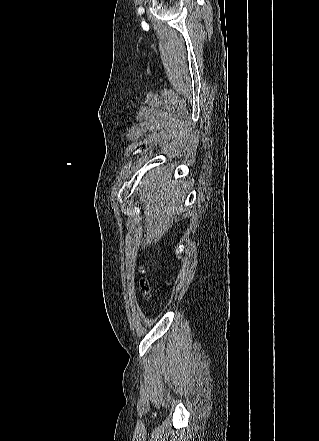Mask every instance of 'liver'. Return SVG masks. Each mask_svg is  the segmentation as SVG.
<instances>
[{
  "label": "liver",
  "mask_w": 319,
  "mask_h": 441,
  "mask_svg": "<svg viewBox=\"0 0 319 441\" xmlns=\"http://www.w3.org/2000/svg\"><path fill=\"white\" fill-rule=\"evenodd\" d=\"M137 195L144 207V229H135L134 237L136 246L145 248L158 243L176 222V211L185 198L184 184L172 180V168L158 167L142 179ZM143 231L144 238H140Z\"/></svg>",
  "instance_id": "obj_1"
}]
</instances>
